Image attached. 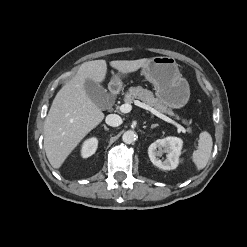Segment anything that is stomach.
Wrapping results in <instances>:
<instances>
[{
    "label": "stomach",
    "instance_id": "obj_1",
    "mask_svg": "<svg viewBox=\"0 0 247 247\" xmlns=\"http://www.w3.org/2000/svg\"><path fill=\"white\" fill-rule=\"evenodd\" d=\"M142 73L153 84L157 97L166 106L179 109L189 101V84L182 77L174 58L156 56L148 59L142 67ZM111 84L121 87V74L114 75Z\"/></svg>",
    "mask_w": 247,
    "mask_h": 247
}]
</instances>
